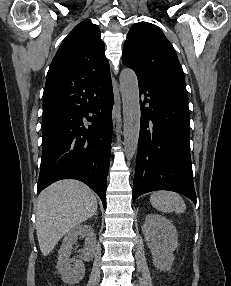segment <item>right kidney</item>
Listing matches in <instances>:
<instances>
[{
  "label": "right kidney",
  "instance_id": "obj_1",
  "mask_svg": "<svg viewBox=\"0 0 231 286\" xmlns=\"http://www.w3.org/2000/svg\"><path fill=\"white\" fill-rule=\"evenodd\" d=\"M78 237L85 238L84 248L79 259H72V245ZM96 250V235L90 225H78L64 237L60 250L58 251L57 269L61 279L66 284L79 283L85 275L84 261H91ZM73 263V264H72Z\"/></svg>",
  "mask_w": 231,
  "mask_h": 286
}]
</instances>
